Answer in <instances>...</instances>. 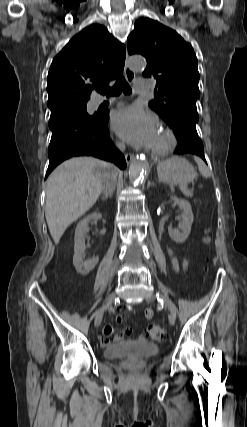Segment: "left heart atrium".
Masks as SVG:
<instances>
[{
	"label": "left heart atrium",
	"instance_id": "left-heart-atrium-1",
	"mask_svg": "<svg viewBox=\"0 0 247 427\" xmlns=\"http://www.w3.org/2000/svg\"><path fill=\"white\" fill-rule=\"evenodd\" d=\"M113 131L133 146H153L157 135L156 118L137 106L118 110L112 118Z\"/></svg>",
	"mask_w": 247,
	"mask_h": 427
}]
</instances>
